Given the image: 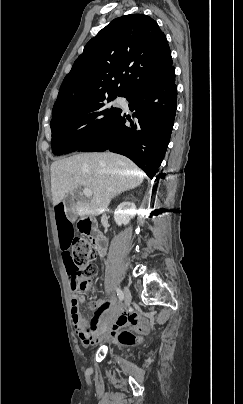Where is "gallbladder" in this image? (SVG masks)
<instances>
[{
  "label": "gallbladder",
  "mask_w": 243,
  "mask_h": 404,
  "mask_svg": "<svg viewBox=\"0 0 243 404\" xmlns=\"http://www.w3.org/2000/svg\"><path fill=\"white\" fill-rule=\"evenodd\" d=\"M74 196L75 195L67 194L66 198H64V204H65L64 209L66 211V217L68 219L75 218V213L73 211H74V207L77 205V202L75 201Z\"/></svg>",
  "instance_id": "gallbladder-1"
}]
</instances>
